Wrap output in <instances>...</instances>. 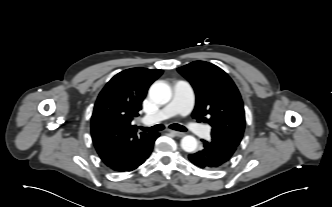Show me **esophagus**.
<instances>
[{"label": "esophagus", "instance_id": "1", "mask_svg": "<svg viewBox=\"0 0 332 207\" xmlns=\"http://www.w3.org/2000/svg\"><path fill=\"white\" fill-rule=\"evenodd\" d=\"M170 133H172L174 136L176 137H183L185 135V133L183 132H179V131H175V130H168Z\"/></svg>", "mask_w": 332, "mask_h": 207}]
</instances>
